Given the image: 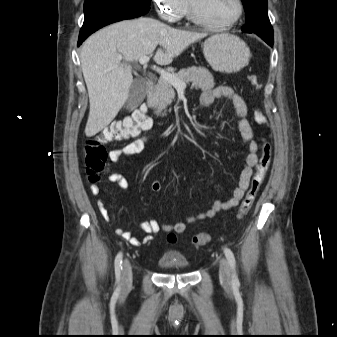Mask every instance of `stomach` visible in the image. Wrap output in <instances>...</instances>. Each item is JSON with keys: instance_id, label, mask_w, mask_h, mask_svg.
<instances>
[{"instance_id": "stomach-1", "label": "stomach", "mask_w": 337, "mask_h": 337, "mask_svg": "<svg viewBox=\"0 0 337 337\" xmlns=\"http://www.w3.org/2000/svg\"><path fill=\"white\" fill-rule=\"evenodd\" d=\"M203 52L211 67L223 73L239 72L248 65L251 57L246 43L230 34L211 36L204 42Z\"/></svg>"}]
</instances>
